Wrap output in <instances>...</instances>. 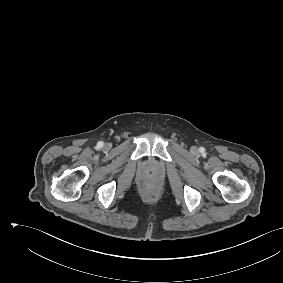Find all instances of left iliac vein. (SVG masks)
Returning a JSON list of instances; mask_svg holds the SVG:
<instances>
[{
	"label": "left iliac vein",
	"mask_w": 283,
	"mask_h": 283,
	"mask_svg": "<svg viewBox=\"0 0 283 283\" xmlns=\"http://www.w3.org/2000/svg\"><path fill=\"white\" fill-rule=\"evenodd\" d=\"M191 151H192V153H196L197 152V148L196 147H192Z\"/></svg>",
	"instance_id": "left-iliac-vein-1"
}]
</instances>
